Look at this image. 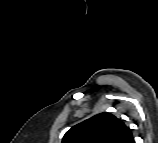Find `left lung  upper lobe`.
Segmentation results:
<instances>
[{"label":"left lung upper lobe","mask_w":158,"mask_h":143,"mask_svg":"<svg viewBox=\"0 0 158 143\" xmlns=\"http://www.w3.org/2000/svg\"><path fill=\"white\" fill-rule=\"evenodd\" d=\"M131 129L109 112L99 113L75 126L62 143H133Z\"/></svg>","instance_id":"5c2ea615"}]
</instances>
